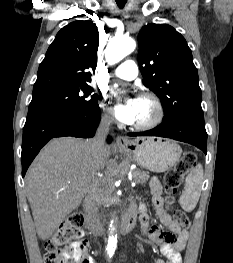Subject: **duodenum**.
<instances>
[{
    "mask_svg": "<svg viewBox=\"0 0 233 263\" xmlns=\"http://www.w3.org/2000/svg\"><path fill=\"white\" fill-rule=\"evenodd\" d=\"M86 221L85 225L90 234L94 236H100L99 228L97 224L94 222L92 215L89 211H86ZM137 218V209L135 205H132L129 209V211L124 216L122 223L120 225V232L121 234H128L133 226L135 225Z\"/></svg>",
    "mask_w": 233,
    "mask_h": 263,
    "instance_id": "obj_1",
    "label": "duodenum"
}]
</instances>
